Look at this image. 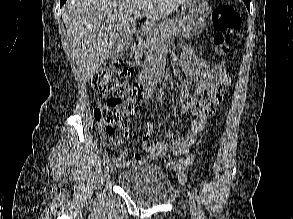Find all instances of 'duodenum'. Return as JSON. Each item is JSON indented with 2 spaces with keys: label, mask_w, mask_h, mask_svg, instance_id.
Returning a JSON list of instances; mask_svg holds the SVG:
<instances>
[{
  "label": "duodenum",
  "mask_w": 293,
  "mask_h": 219,
  "mask_svg": "<svg viewBox=\"0 0 293 219\" xmlns=\"http://www.w3.org/2000/svg\"><path fill=\"white\" fill-rule=\"evenodd\" d=\"M148 38V29L143 27L137 33L136 46L142 47ZM165 78V73L161 69L150 68L138 76V82L142 85L151 84L154 81H161Z\"/></svg>",
  "instance_id": "1"
}]
</instances>
